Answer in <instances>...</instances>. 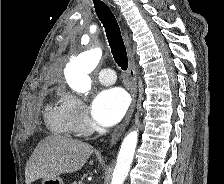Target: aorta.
<instances>
[{
  "label": "aorta",
  "instance_id": "1",
  "mask_svg": "<svg viewBox=\"0 0 224 184\" xmlns=\"http://www.w3.org/2000/svg\"><path fill=\"white\" fill-rule=\"evenodd\" d=\"M101 57V48H94L81 53L67 64L64 72L65 78L74 91L88 93L91 89L89 74L96 68ZM137 141V130L129 132L124 138L113 171L111 184H123L125 181L131 167Z\"/></svg>",
  "mask_w": 224,
  "mask_h": 184
}]
</instances>
